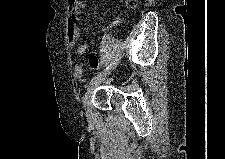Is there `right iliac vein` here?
I'll return each mask as SVG.
<instances>
[{
    "mask_svg": "<svg viewBox=\"0 0 225 159\" xmlns=\"http://www.w3.org/2000/svg\"><path fill=\"white\" fill-rule=\"evenodd\" d=\"M115 66L112 68L114 70ZM112 70H109L108 72L102 74L101 76H98L93 84L89 86L87 89V92L85 96L83 97V105L87 112H90V106H91V96L96 89V87L101 84L107 77L111 74Z\"/></svg>",
    "mask_w": 225,
    "mask_h": 159,
    "instance_id": "1",
    "label": "right iliac vein"
}]
</instances>
